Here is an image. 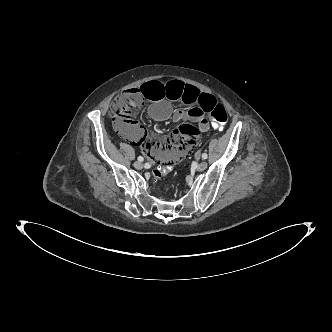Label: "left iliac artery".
<instances>
[{
    "label": "left iliac artery",
    "instance_id": "1",
    "mask_svg": "<svg viewBox=\"0 0 332 332\" xmlns=\"http://www.w3.org/2000/svg\"><path fill=\"white\" fill-rule=\"evenodd\" d=\"M207 157H208L207 153L202 154V159H207Z\"/></svg>",
    "mask_w": 332,
    "mask_h": 332
}]
</instances>
